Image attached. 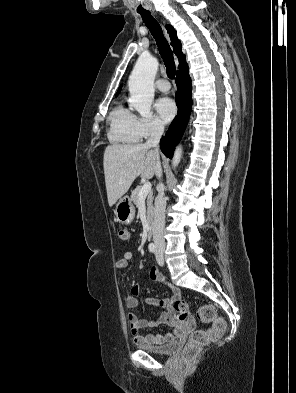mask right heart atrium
<instances>
[{
  "instance_id": "d8ad5b80",
  "label": "right heart atrium",
  "mask_w": 296,
  "mask_h": 393,
  "mask_svg": "<svg viewBox=\"0 0 296 393\" xmlns=\"http://www.w3.org/2000/svg\"><path fill=\"white\" fill-rule=\"evenodd\" d=\"M137 128L141 139L158 136L164 130L162 122L156 117H138Z\"/></svg>"
}]
</instances>
